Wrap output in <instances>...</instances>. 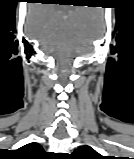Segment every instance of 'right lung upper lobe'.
<instances>
[{"label": "right lung upper lobe", "instance_id": "obj_1", "mask_svg": "<svg viewBox=\"0 0 134 159\" xmlns=\"http://www.w3.org/2000/svg\"><path fill=\"white\" fill-rule=\"evenodd\" d=\"M18 151L25 153L31 159H39V156L43 153V149L38 143H29L18 149Z\"/></svg>", "mask_w": 134, "mask_h": 159}]
</instances>
